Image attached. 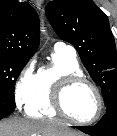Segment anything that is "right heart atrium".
Returning <instances> with one entry per match:
<instances>
[{
	"label": "right heart atrium",
	"mask_w": 117,
	"mask_h": 136,
	"mask_svg": "<svg viewBox=\"0 0 117 136\" xmlns=\"http://www.w3.org/2000/svg\"><path fill=\"white\" fill-rule=\"evenodd\" d=\"M36 79L35 59H31L21 69L14 83V102L18 108L25 106L34 95Z\"/></svg>",
	"instance_id": "obj_1"
}]
</instances>
